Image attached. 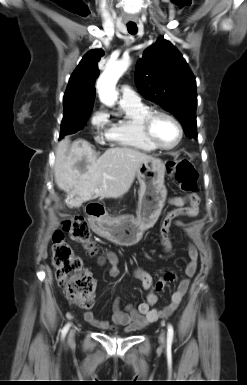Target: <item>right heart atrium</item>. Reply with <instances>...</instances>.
Here are the masks:
<instances>
[{
    "instance_id": "right-heart-atrium-1",
    "label": "right heart atrium",
    "mask_w": 247,
    "mask_h": 385,
    "mask_svg": "<svg viewBox=\"0 0 247 385\" xmlns=\"http://www.w3.org/2000/svg\"><path fill=\"white\" fill-rule=\"evenodd\" d=\"M91 125L99 133V131L108 124V115L103 109L96 110L91 117Z\"/></svg>"
}]
</instances>
